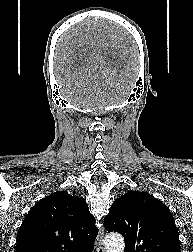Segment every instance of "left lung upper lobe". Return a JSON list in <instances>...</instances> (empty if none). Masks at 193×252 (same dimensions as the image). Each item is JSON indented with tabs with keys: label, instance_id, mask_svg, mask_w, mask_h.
I'll use <instances>...</instances> for the list:
<instances>
[{
	"label": "left lung upper lobe",
	"instance_id": "obj_1",
	"mask_svg": "<svg viewBox=\"0 0 193 252\" xmlns=\"http://www.w3.org/2000/svg\"><path fill=\"white\" fill-rule=\"evenodd\" d=\"M108 232L125 239L124 252H180L177 227L169 208L146 192L117 198L104 219Z\"/></svg>",
	"mask_w": 193,
	"mask_h": 252
}]
</instances>
